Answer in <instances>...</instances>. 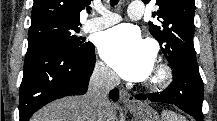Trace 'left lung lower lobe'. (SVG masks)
Listing matches in <instances>:
<instances>
[{
	"mask_svg": "<svg viewBox=\"0 0 217 121\" xmlns=\"http://www.w3.org/2000/svg\"><path fill=\"white\" fill-rule=\"evenodd\" d=\"M172 68L173 82L163 92L138 94L136 98L176 105L196 121H203V82L198 66L181 62Z\"/></svg>",
	"mask_w": 217,
	"mask_h": 121,
	"instance_id": "obj_1",
	"label": "left lung lower lobe"
}]
</instances>
